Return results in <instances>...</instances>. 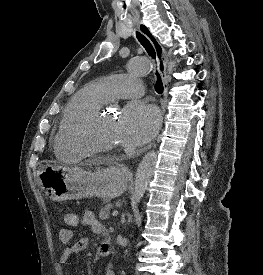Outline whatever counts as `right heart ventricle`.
<instances>
[{
	"label": "right heart ventricle",
	"instance_id": "1",
	"mask_svg": "<svg viewBox=\"0 0 263 275\" xmlns=\"http://www.w3.org/2000/svg\"><path fill=\"white\" fill-rule=\"evenodd\" d=\"M99 83H91L77 92L67 104L56 136L57 152L66 158L81 159L89 155L71 139L70 131L90 112L107 102Z\"/></svg>",
	"mask_w": 263,
	"mask_h": 275
}]
</instances>
